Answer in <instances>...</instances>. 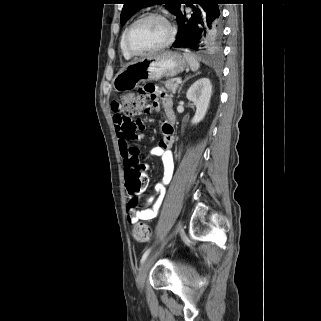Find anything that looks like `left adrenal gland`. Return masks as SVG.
Masks as SVG:
<instances>
[{
  "label": "left adrenal gland",
  "mask_w": 321,
  "mask_h": 321,
  "mask_svg": "<svg viewBox=\"0 0 321 321\" xmlns=\"http://www.w3.org/2000/svg\"><path fill=\"white\" fill-rule=\"evenodd\" d=\"M197 74H199V72H198ZM197 74H196V75H197ZM191 77H193V76L187 77V78L183 81V83L181 84V86H180V88H179L178 93H180V91H181V89H182L183 84H184L188 79H190Z\"/></svg>",
  "instance_id": "left-adrenal-gland-1"
}]
</instances>
